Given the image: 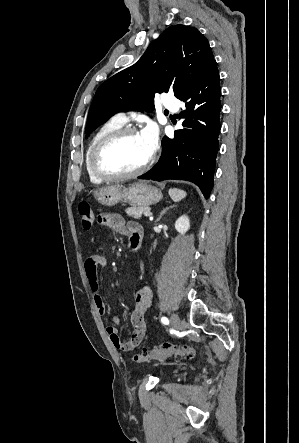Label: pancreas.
Wrapping results in <instances>:
<instances>
[{"label":"pancreas","mask_w":299,"mask_h":443,"mask_svg":"<svg viewBox=\"0 0 299 443\" xmlns=\"http://www.w3.org/2000/svg\"><path fill=\"white\" fill-rule=\"evenodd\" d=\"M125 211L129 216L139 219L144 212L150 211V208L148 206H132L127 208Z\"/></svg>","instance_id":"pancreas-1"}]
</instances>
